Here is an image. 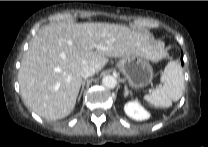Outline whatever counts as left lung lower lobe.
<instances>
[{"instance_id":"1","label":"left lung lower lobe","mask_w":208,"mask_h":147,"mask_svg":"<svg viewBox=\"0 0 208 147\" xmlns=\"http://www.w3.org/2000/svg\"><path fill=\"white\" fill-rule=\"evenodd\" d=\"M181 63L183 65V53L181 54Z\"/></svg>"}]
</instances>
